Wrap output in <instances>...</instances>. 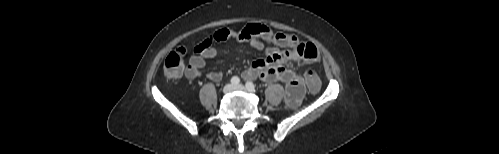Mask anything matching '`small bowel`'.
Wrapping results in <instances>:
<instances>
[{
  "instance_id": "obj_1",
  "label": "small bowel",
  "mask_w": 499,
  "mask_h": 154,
  "mask_svg": "<svg viewBox=\"0 0 499 154\" xmlns=\"http://www.w3.org/2000/svg\"><path fill=\"white\" fill-rule=\"evenodd\" d=\"M232 39L238 44H250L256 49L265 50L266 57L254 61L242 72L245 79L259 78L268 83H286L285 103L290 108L300 105L305 94L303 78L294 70L286 67L288 63H316L320 54L312 43L301 42L295 35L273 33L263 24H248L240 30L221 29L199 43L185 69L188 79L202 75V69L208 60L217 55L216 44ZM206 77L219 82L221 71H209Z\"/></svg>"
}]
</instances>
